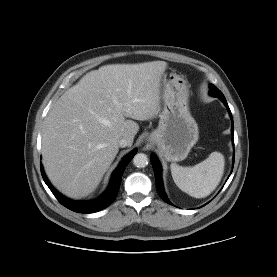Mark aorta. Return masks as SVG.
<instances>
[{
  "mask_svg": "<svg viewBox=\"0 0 277 277\" xmlns=\"http://www.w3.org/2000/svg\"><path fill=\"white\" fill-rule=\"evenodd\" d=\"M133 164L138 168H143L148 165V157L146 154L138 153L133 158Z\"/></svg>",
  "mask_w": 277,
  "mask_h": 277,
  "instance_id": "aorta-1",
  "label": "aorta"
}]
</instances>
